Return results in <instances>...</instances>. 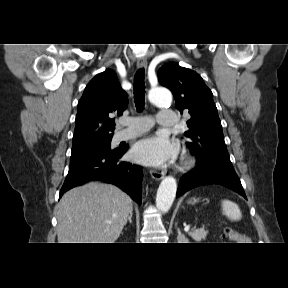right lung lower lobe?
<instances>
[{
    "label": "right lung lower lobe",
    "mask_w": 288,
    "mask_h": 288,
    "mask_svg": "<svg viewBox=\"0 0 288 288\" xmlns=\"http://www.w3.org/2000/svg\"><path fill=\"white\" fill-rule=\"evenodd\" d=\"M128 147L99 152L70 162L69 172L60 190V197L73 187L90 180H101L114 184L141 204V182L143 171L140 166L119 159Z\"/></svg>",
    "instance_id": "98d812e1"
}]
</instances>
